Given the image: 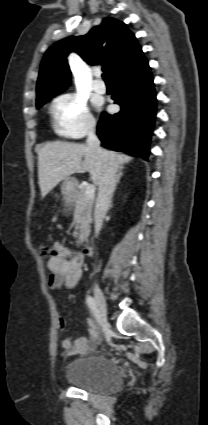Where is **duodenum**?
<instances>
[{"mask_svg":"<svg viewBox=\"0 0 208 425\" xmlns=\"http://www.w3.org/2000/svg\"><path fill=\"white\" fill-rule=\"evenodd\" d=\"M82 251H83V253H84L86 256H88V255H91V254H92L93 249H92V247H91V246H89V245H84V246L82 247Z\"/></svg>","mask_w":208,"mask_h":425,"instance_id":"duodenum-1","label":"duodenum"}]
</instances>
